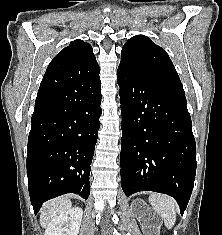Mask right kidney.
Returning a JSON list of instances; mask_svg holds the SVG:
<instances>
[{
    "label": "right kidney",
    "mask_w": 222,
    "mask_h": 235,
    "mask_svg": "<svg viewBox=\"0 0 222 235\" xmlns=\"http://www.w3.org/2000/svg\"><path fill=\"white\" fill-rule=\"evenodd\" d=\"M82 216L83 210L79 207L59 214L47 225L45 235H78Z\"/></svg>",
    "instance_id": "1"
}]
</instances>
